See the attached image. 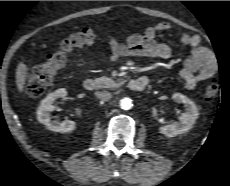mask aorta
I'll return each instance as SVG.
<instances>
[{"label":"aorta","mask_w":230,"mask_h":186,"mask_svg":"<svg viewBox=\"0 0 230 186\" xmlns=\"http://www.w3.org/2000/svg\"><path fill=\"white\" fill-rule=\"evenodd\" d=\"M133 106L132 104V100L130 98H123L120 100V107L123 109V110H129L131 109Z\"/></svg>","instance_id":"1"}]
</instances>
